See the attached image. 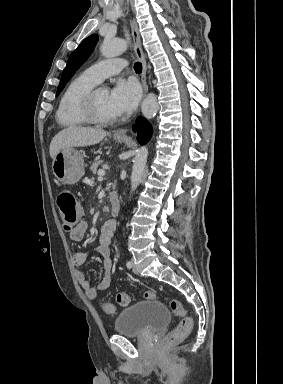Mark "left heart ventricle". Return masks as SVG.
Listing matches in <instances>:
<instances>
[{
    "label": "left heart ventricle",
    "mask_w": 283,
    "mask_h": 384,
    "mask_svg": "<svg viewBox=\"0 0 283 384\" xmlns=\"http://www.w3.org/2000/svg\"><path fill=\"white\" fill-rule=\"evenodd\" d=\"M95 104L97 113L104 119H115L117 118L110 109L108 102V91L102 87H99L95 94Z\"/></svg>",
    "instance_id": "1"
}]
</instances>
